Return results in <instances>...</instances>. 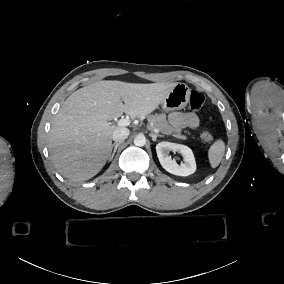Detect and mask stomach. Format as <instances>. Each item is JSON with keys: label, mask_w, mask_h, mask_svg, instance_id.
Wrapping results in <instances>:
<instances>
[{"label": "stomach", "mask_w": 284, "mask_h": 284, "mask_svg": "<svg viewBox=\"0 0 284 284\" xmlns=\"http://www.w3.org/2000/svg\"><path fill=\"white\" fill-rule=\"evenodd\" d=\"M190 102V88L185 83H178L163 99L162 109L165 113L182 110Z\"/></svg>", "instance_id": "1"}]
</instances>
